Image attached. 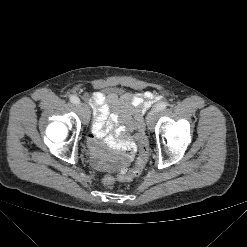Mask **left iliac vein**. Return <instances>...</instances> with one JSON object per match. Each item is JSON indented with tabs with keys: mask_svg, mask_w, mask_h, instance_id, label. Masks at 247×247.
<instances>
[{
	"mask_svg": "<svg viewBox=\"0 0 247 247\" xmlns=\"http://www.w3.org/2000/svg\"><path fill=\"white\" fill-rule=\"evenodd\" d=\"M156 114H157V110L155 108L147 114L146 123L149 127H153Z\"/></svg>",
	"mask_w": 247,
	"mask_h": 247,
	"instance_id": "obj_1",
	"label": "left iliac vein"
}]
</instances>
